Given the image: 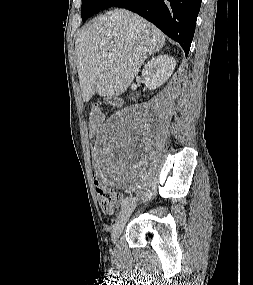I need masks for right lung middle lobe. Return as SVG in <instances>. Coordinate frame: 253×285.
I'll return each mask as SVG.
<instances>
[{
  "instance_id": "1",
  "label": "right lung middle lobe",
  "mask_w": 253,
  "mask_h": 285,
  "mask_svg": "<svg viewBox=\"0 0 253 285\" xmlns=\"http://www.w3.org/2000/svg\"><path fill=\"white\" fill-rule=\"evenodd\" d=\"M118 0H82L81 16L85 21L100 10L112 7Z\"/></svg>"
}]
</instances>
